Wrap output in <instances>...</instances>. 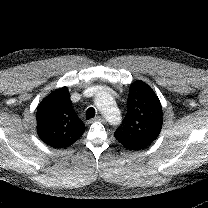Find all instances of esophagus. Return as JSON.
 <instances>
[{"label": "esophagus", "mask_w": 208, "mask_h": 208, "mask_svg": "<svg viewBox=\"0 0 208 208\" xmlns=\"http://www.w3.org/2000/svg\"><path fill=\"white\" fill-rule=\"evenodd\" d=\"M95 121L105 122L106 120L102 116H97L94 118Z\"/></svg>", "instance_id": "esophagus-1"}]
</instances>
